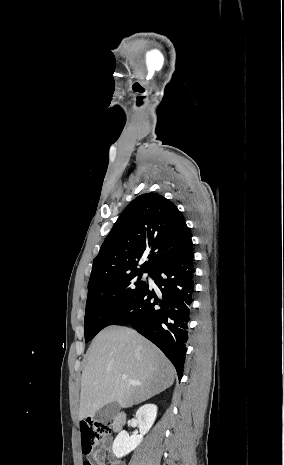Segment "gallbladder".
<instances>
[{
	"mask_svg": "<svg viewBox=\"0 0 284 465\" xmlns=\"http://www.w3.org/2000/svg\"><path fill=\"white\" fill-rule=\"evenodd\" d=\"M120 407L119 403L113 401V403H109L106 407H103L101 411H97L96 415H94V421H98V423H110L114 417H116L117 413H119Z\"/></svg>",
	"mask_w": 284,
	"mask_h": 465,
	"instance_id": "bac80fb5",
	"label": "gallbladder"
}]
</instances>
